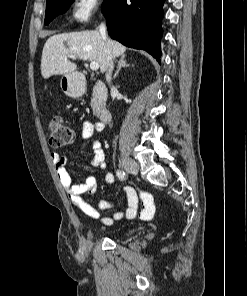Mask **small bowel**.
<instances>
[{"label":"small bowel","instance_id":"c3829d8e","mask_svg":"<svg viewBox=\"0 0 247 296\" xmlns=\"http://www.w3.org/2000/svg\"><path fill=\"white\" fill-rule=\"evenodd\" d=\"M103 126L100 122H84L82 129V137L84 140H91L93 135L102 131ZM93 156L90 159L91 166L103 170L105 169V154L101 143L97 140L91 142ZM51 160L55 167L58 179L72 202V204L86 216L100 221L105 226H111L115 220L123 217L132 219L136 217L139 209L138 193L130 186L124 188L127 196V208L118 210L112 216H102L100 211L108 208H114L116 204L111 200H102L96 206L89 204L84 200L83 195H91L97 189V179L95 176H87L81 183L74 182L73 177L66 169V157L56 152L51 154ZM106 184H114L116 179L112 173H107L104 177ZM143 197V208L140 214L141 219H149L154 211V206L149 196L146 194ZM149 210V212H148Z\"/></svg>","mask_w":247,"mask_h":296}]
</instances>
